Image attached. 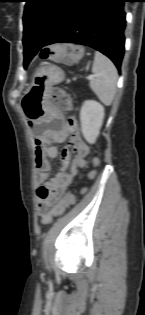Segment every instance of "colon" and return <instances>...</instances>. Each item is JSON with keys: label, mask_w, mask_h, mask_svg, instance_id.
Here are the masks:
<instances>
[{"label": "colon", "mask_w": 145, "mask_h": 315, "mask_svg": "<svg viewBox=\"0 0 145 315\" xmlns=\"http://www.w3.org/2000/svg\"><path fill=\"white\" fill-rule=\"evenodd\" d=\"M82 55V50L75 45L63 44L55 45L51 47L44 48L40 56L44 60L51 61H61L65 63H71L78 60ZM53 103L64 110H68L72 106V98L69 93L63 89H54L52 93ZM93 166L98 164L97 158L92 160ZM74 196L72 194H67L63 199H61L48 213L46 216L47 223H51L57 217L61 216L65 210L74 203Z\"/></svg>", "instance_id": "colon-1"}]
</instances>
